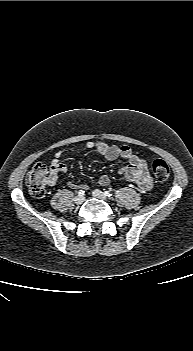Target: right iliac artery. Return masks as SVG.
Returning <instances> with one entry per match:
<instances>
[{"instance_id":"82829eb1","label":"right iliac artery","mask_w":193,"mask_h":351,"mask_svg":"<svg viewBox=\"0 0 193 351\" xmlns=\"http://www.w3.org/2000/svg\"><path fill=\"white\" fill-rule=\"evenodd\" d=\"M84 193H85V191H84V190H79V191H78V195H79V196H83V195H84Z\"/></svg>"}]
</instances>
